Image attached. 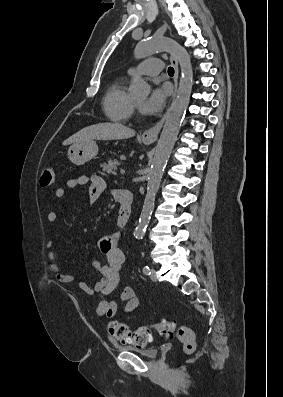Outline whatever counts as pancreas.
Wrapping results in <instances>:
<instances>
[{
	"label": "pancreas",
	"instance_id": "cf45deb5",
	"mask_svg": "<svg viewBox=\"0 0 283 397\" xmlns=\"http://www.w3.org/2000/svg\"><path fill=\"white\" fill-rule=\"evenodd\" d=\"M120 162L116 159H109L107 163L101 164L103 171L108 174H115Z\"/></svg>",
	"mask_w": 283,
	"mask_h": 397
}]
</instances>
